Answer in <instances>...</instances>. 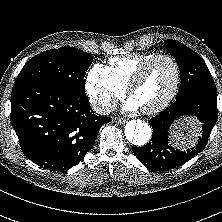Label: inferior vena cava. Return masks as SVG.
I'll return each instance as SVG.
<instances>
[{"instance_id": "1", "label": "inferior vena cava", "mask_w": 222, "mask_h": 222, "mask_svg": "<svg viewBox=\"0 0 222 222\" xmlns=\"http://www.w3.org/2000/svg\"><path fill=\"white\" fill-rule=\"evenodd\" d=\"M116 103H102L94 105V110L96 113L101 115H108L116 108Z\"/></svg>"}]
</instances>
